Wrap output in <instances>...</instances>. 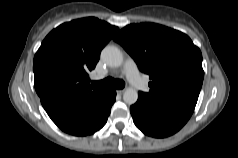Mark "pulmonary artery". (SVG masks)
Segmentation results:
<instances>
[{"label": "pulmonary artery", "instance_id": "obj_1", "mask_svg": "<svg viewBox=\"0 0 238 158\" xmlns=\"http://www.w3.org/2000/svg\"><path fill=\"white\" fill-rule=\"evenodd\" d=\"M122 71L127 76L128 80L133 86L137 88L143 87L137 64L133 59L127 58L125 60Z\"/></svg>", "mask_w": 238, "mask_h": 158}]
</instances>
